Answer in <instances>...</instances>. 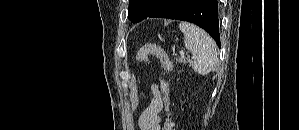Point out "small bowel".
Masks as SVG:
<instances>
[{
  "label": "small bowel",
  "instance_id": "1",
  "mask_svg": "<svg viewBox=\"0 0 299 130\" xmlns=\"http://www.w3.org/2000/svg\"><path fill=\"white\" fill-rule=\"evenodd\" d=\"M163 103L164 96L159 87L152 85L149 103L138 119L139 130H161L160 112Z\"/></svg>",
  "mask_w": 299,
  "mask_h": 130
}]
</instances>
